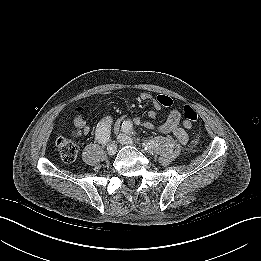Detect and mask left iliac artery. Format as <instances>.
Returning a JSON list of instances; mask_svg holds the SVG:
<instances>
[{
    "label": "left iliac artery",
    "mask_w": 261,
    "mask_h": 261,
    "mask_svg": "<svg viewBox=\"0 0 261 261\" xmlns=\"http://www.w3.org/2000/svg\"><path fill=\"white\" fill-rule=\"evenodd\" d=\"M122 130L125 132L127 135L132 136L133 134V124L131 121H124L122 123ZM153 147V143H149Z\"/></svg>",
    "instance_id": "obj_1"
}]
</instances>
